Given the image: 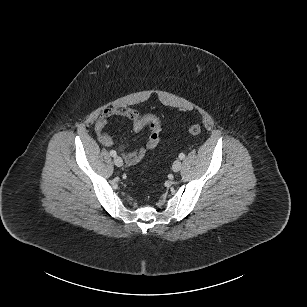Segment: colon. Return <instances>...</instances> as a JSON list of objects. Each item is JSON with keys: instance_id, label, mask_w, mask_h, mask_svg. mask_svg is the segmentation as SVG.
Wrapping results in <instances>:
<instances>
[{"instance_id": "1", "label": "colon", "mask_w": 307, "mask_h": 307, "mask_svg": "<svg viewBox=\"0 0 307 307\" xmlns=\"http://www.w3.org/2000/svg\"><path fill=\"white\" fill-rule=\"evenodd\" d=\"M188 132L192 135H199L202 131L201 126L198 124H192L187 128Z\"/></svg>"}]
</instances>
